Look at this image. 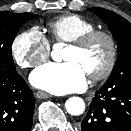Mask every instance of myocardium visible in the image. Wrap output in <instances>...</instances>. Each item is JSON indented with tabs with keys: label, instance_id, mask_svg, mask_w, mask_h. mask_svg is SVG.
<instances>
[{
	"label": "myocardium",
	"instance_id": "obj_1",
	"mask_svg": "<svg viewBox=\"0 0 131 131\" xmlns=\"http://www.w3.org/2000/svg\"><path fill=\"white\" fill-rule=\"evenodd\" d=\"M98 38H102L107 42L109 48V56L106 64L100 71L89 75V78L92 81L104 80L109 77L114 70L118 60V43L115 36L107 30L94 29L70 42L68 46L77 50H83Z\"/></svg>",
	"mask_w": 131,
	"mask_h": 131
}]
</instances>
